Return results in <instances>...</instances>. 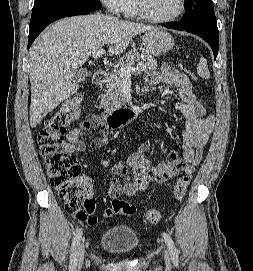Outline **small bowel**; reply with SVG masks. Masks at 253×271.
<instances>
[{
  "instance_id": "obj_1",
  "label": "small bowel",
  "mask_w": 253,
  "mask_h": 271,
  "mask_svg": "<svg viewBox=\"0 0 253 271\" xmlns=\"http://www.w3.org/2000/svg\"><path fill=\"white\" fill-rule=\"evenodd\" d=\"M146 83L149 87L166 84L178 88L180 101L175 104V109L186 118L183 131V155L180 157L176 151H171L166 163L153 164L144 156L151 144L149 141L143 142L138 153L131 154L125 161L113 166L108 189V196L111 199L118 198L122 194L133 196L146 190L149 182H164L178 173L192 175L195 167L201 162L203 149L214 128V118L210 115L206 116L203 105L192 91L189 75L164 64L161 71L147 75ZM88 130L102 133V137L94 138L90 142L92 149L107 144L109 128L94 118H88L69 131L64 150L70 154L85 151L87 146L83 139ZM83 181L89 182L87 178ZM113 214L111 207H106L102 212L105 218ZM92 217L95 223L97 216L94 210Z\"/></svg>"
}]
</instances>
